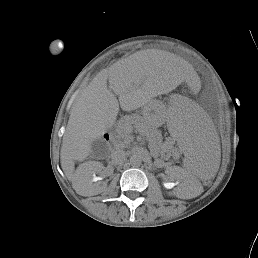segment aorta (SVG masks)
<instances>
[{"instance_id": "1", "label": "aorta", "mask_w": 258, "mask_h": 258, "mask_svg": "<svg viewBox=\"0 0 258 258\" xmlns=\"http://www.w3.org/2000/svg\"><path fill=\"white\" fill-rule=\"evenodd\" d=\"M142 161L141 155L139 153H134L131 157H130V162L132 164H140Z\"/></svg>"}]
</instances>
